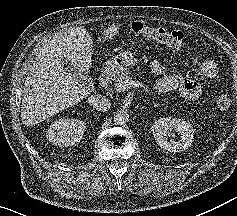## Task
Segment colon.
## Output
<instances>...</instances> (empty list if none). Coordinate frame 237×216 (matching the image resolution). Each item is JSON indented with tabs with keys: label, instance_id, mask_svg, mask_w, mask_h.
I'll return each mask as SVG.
<instances>
[{
	"label": "colon",
	"instance_id": "5ec220e1",
	"mask_svg": "<svg viewBox=\"0 0 237 216\" xmlns=\"http://www.w3.org/2000/svg\"><path fill=\"white\" fill-rule=\"evenodd\" d=\"M131 31L138 36L164 43L172 48H180L185 43V36L181 31H167L162 28L152 27L142 22L131 24ZM231 105V99L227 91H222L217 98V107L227 110Z\"/></svg>",
	"mask_w": 237,
	"mask_h": 216
}]
</instances>
